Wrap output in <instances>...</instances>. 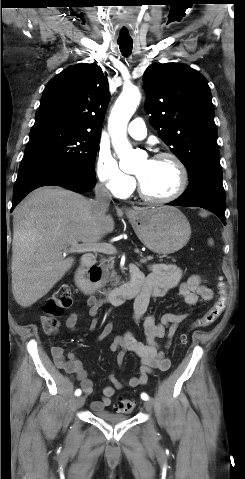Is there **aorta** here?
<instances>
[{
	"instance_id": "obj_1",
	"label": "aorta",
	"mask_w": 245,
	"mask_h": 479,
	"mask_svg": "<svg viewBox=\"0 0 245 479\" xmlns=\"http://www.w3.org/2000/svg\"><path fill=\"white\" fill-rule=\"evenodd\" d=\"M140 99L141 95L136 87H125L109 117V131L114 150L120 159L119 166L123 172L129 174L138 170L139 160L127 140L126 130Z\"/></svg>"
}]
</instances>
